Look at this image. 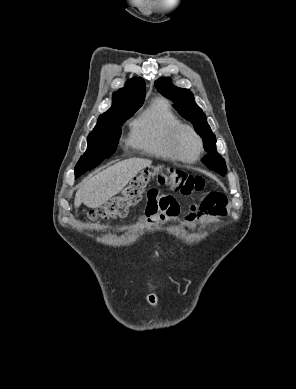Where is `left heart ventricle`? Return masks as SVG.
I'll use <instances>...</instances> for the list:
<instances>
[{"label": "left heart ventricle", "instance_id": "b2bd125f", "mask_svg": "<svg viewBox=\"0 0 296 389\" xmlns=\"http://www.w3.org/2000/svg\"><path fill=\"white\" fill-rule=\"evenodd\" d=\"M179 148L185 158H193L197 153L196 140L191 134L184 132L179 140Z\"/></svg>", "mask_w": 296, "mask_h": 389}]
</instances>
